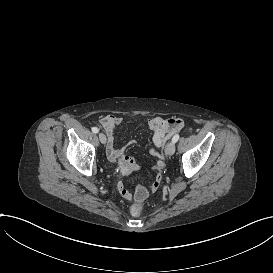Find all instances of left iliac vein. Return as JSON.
<instances>
[{"label":"left iliac vein","instance_id":"1","mask_svg":"<svg viewBox=\"0 0 273 273\" xmlns=\"http://www.w3.org/2000/svg\"><path fill=\"white\" fill-rule=\"evenodd\" d=\"M165 152L169 156H171L175 153V143L173 141H171L167 144Z\"/></svg>","mask_w":273,"mask_h":273}]
</instances>
